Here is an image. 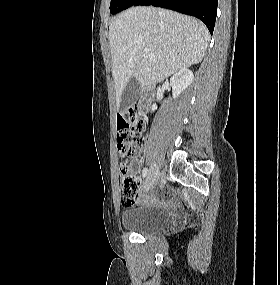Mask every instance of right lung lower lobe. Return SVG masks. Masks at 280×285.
Instances as JSON below:
<instances>
[{
    "instance_id": "1",
    "label": "right lung lower lobe",
    "mask_w": 280,
    "mask_h": 285,
    "mask_svg": "<svg viewBox=\"0 0 280 285\" xmlns=\"http://www.w3.org/2000/svg\"><path fill=\"white\" fill-rule=\"evenodd\" d=\"M218 0H137L134 6L153 5L192 15L203 21L213 34Z\"/></svg>"
}]
</instances>
